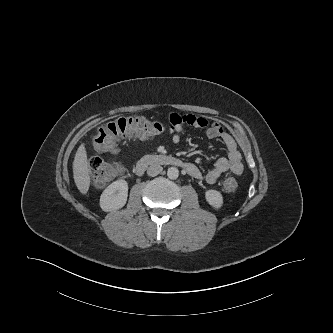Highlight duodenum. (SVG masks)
Returning a JSON list of instances; mask_svg holds the SVG:
<instances>
[{
  "mask_svg": "<svg viewBox=\"0 0 333 333\" xmlns=\"http://www.w3.org/2000/svg\"><path fill=\"white\" fill-rule=\"evenodd\" d=\"M159 164V165H169V166H177L189 170V164L183 162L182 160L162 154H153L146 155L139 159L135 165V172L137 175H141L150 165Z\"/></svg>",
  "mask_w": 333,
  "mask_h": 333,
  "instance_id": "obj_1",
  "label": "duodenum"
}]
</instances>
